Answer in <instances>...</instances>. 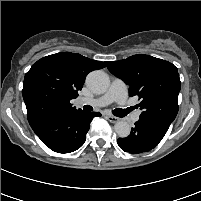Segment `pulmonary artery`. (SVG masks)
Returning a JSON list of instances; mask_svg holds the SVG:
<instances>
[{"label": "pulmonary artery", "instance_id": "e3ab8cb5", "mask_svg": "<svg viewBox=\"0 0 201 201\" xmlns=\"http://www.w3.org/2000/svg\"><path fill=\"white\" fill-rule=\"evenodd\" d=\"M127 99V86L126 84L120 80V79H114L107 90V92L91 101H88L87 103L97 106V107H104L107 106L113 102H117L118 104H124ZM81 102H85L84 100H81ZM140 119V112H135L131 120L133 122H137Z\"/></svg>", "mask_w": 201, "mask_h": 201}]
</instances>
